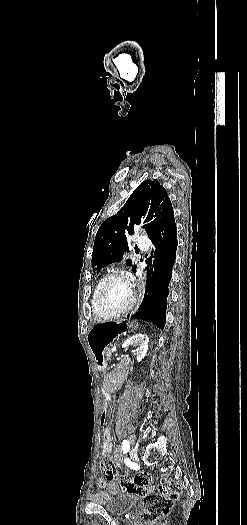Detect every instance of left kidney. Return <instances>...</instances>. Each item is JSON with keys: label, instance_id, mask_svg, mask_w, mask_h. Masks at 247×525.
<instances>
[{"label": "left kidney", "instance_id": "5707ae66", "mask_svg": "<svg viewBox=\"0 0 247 525\" xmlns=\"http://www.w3.org/2000/svg\"><path fill=\"white\" fill-rule=\"evenodd\" d=\"M148 337L147 335H141V333H138V335H133V337H130V339H127L125 343H123L122 347L123 349H128V347H138L136 351V359L138 363L146 357V353L148 351Z\"/></svg>", "mask_w": 247, "mask_h": 525}]
</instances>
